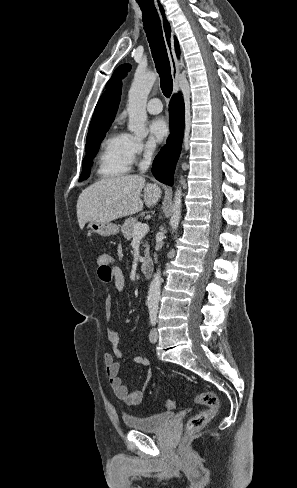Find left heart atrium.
<instances>
[{
	"mask_svg": "<svg viewBox=\"0 0 297 488\" xmlns=\"http://www.w3.org/2000/svg\"><path fill=\"white\" fill-rule=\"evenodd\" d=\"M149 132L155 142H162L168 135V125L163 118H155L149 124Z\"/></svg>",
	"mask_w": 297,
	"mask_h": 488,
	"instance_id": "obj_1",
	"label": "left heart atrium"
}]
</instances>
